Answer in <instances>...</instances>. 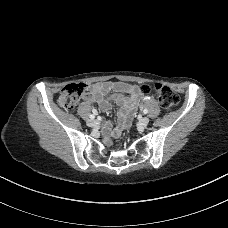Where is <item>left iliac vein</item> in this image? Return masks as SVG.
Returning a JSON list of instances; mask_svg holds the SVG:
<instances>
[{
	"label": "left iliac vein",
	"instance_id": "obj_1",
	"mask_svg": "<svg viewBox=\"0 0 228 228\" xmlns=\"http://www.w3.org/2000/svg\"><path fill=\"white\" fill-rule=\"evenodd\" d=\"M149 118L148 117H143L141 120H140V125L141 126H143V127H145V126H147L148 125V123H149Z\"/></svg>",
	"mask_w": 228,
	"mask_h": 228
}]
</instances>
